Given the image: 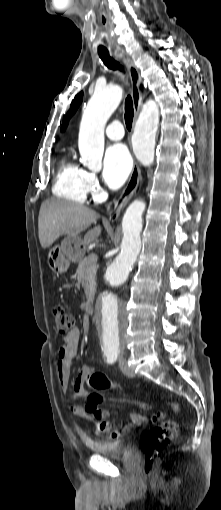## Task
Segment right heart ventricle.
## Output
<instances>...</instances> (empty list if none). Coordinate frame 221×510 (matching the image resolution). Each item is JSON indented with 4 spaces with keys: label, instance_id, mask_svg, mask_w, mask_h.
<instances>
[{
    "label": "right heart ventricle",
    "instance_id": "1",
    "mask_svg": "<svg viewBox=\"0 0 221 510\" xmlns=\"http://www.w3.org/2000/svg\"><path fill=\"white\" fill-rule=\"evenodd\" d=\"M85 174L86 171L83 168L65 155L56 172L53 193L75 203H84L88 193L85 186Z\"/></svg>",
    "mask_w": 221,
    "mask_h": 510
}]
</instances>
